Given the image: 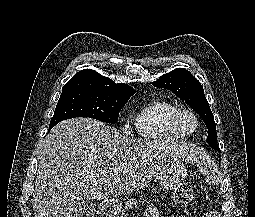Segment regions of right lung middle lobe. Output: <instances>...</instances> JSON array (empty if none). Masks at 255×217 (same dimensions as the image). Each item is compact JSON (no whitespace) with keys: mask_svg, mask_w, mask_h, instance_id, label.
<instances>
[{"mask_svg":"<svg viewBox=\"0 0 255 217\" xmlns=\"http://www.w3.org/2000/svg\"><path fill=\"white\" fill-rule=\"evenodd\" d=\"M132 95L87 90L62 91L50 125L75 117H89L102 122L115 123L120 110Z\"/></svg>","mask_w":255,"mask_h":217,"instance_id":"right-lung-middle-lobe-1","label":"right lung middle lobe"}]
</instances>
